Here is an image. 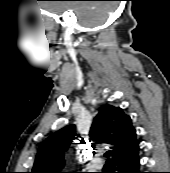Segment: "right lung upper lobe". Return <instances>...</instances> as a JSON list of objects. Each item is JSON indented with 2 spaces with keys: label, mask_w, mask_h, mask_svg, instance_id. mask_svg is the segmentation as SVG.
<instances>
[{
  "label": "right lung upper lobe",
  "mask_w": 170,
  "mask_h": 173,
  "mask_svg": "<svg viewBox=\"0 0 170 173\" xmlns=\"http://www.w3.org/2000/svg\"><path fill=\"white\" fill-rule=\"evenodd\" d=\"M89 136L94 142L113 145V158L137 144L130 117L120 107L112 105H105L99 110ZM78 137L74 125L64 127L48 137L38 150L31 173H62L64 154Z\"/></svg>",
  "instance_id": "cb5924a9"
}]
</instances>
